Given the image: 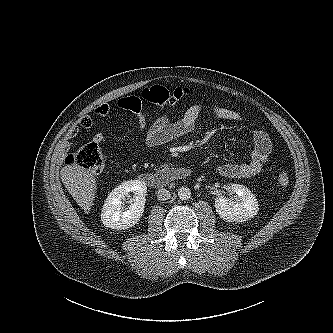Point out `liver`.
Wrapping results in <instances>:
<instances>
[{"label": "liver", "mask_w": 333, "mask_h": 333, "mask_svg": "<svg viewBox=\"0 0 333 333\" xmlns=\"http://www.w3.org/2000/svg\"><path fill=\"white\" fill-rule=\"evenodd\" d=\"M61 180L76 203L89 213L96 193L94 174L78 165H66L61 171Z\"/></svg>", "instance_id": "obj_1"}]
</instances>
